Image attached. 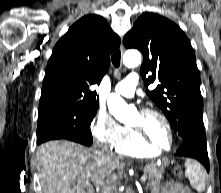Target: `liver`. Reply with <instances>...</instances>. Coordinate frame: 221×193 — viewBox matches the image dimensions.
I'll return each mask as SVG.
<instances>
[{
  "mask_svg": "<svg viewBox=\"0 0 221 193\" xmlns=\"http://www.w3.org/2000/svg\"><path fill=\"white\" fill-rule=\"evenodd\" d=\"M43 193H86L91 182L102 184L119 165V158L104 149L55 140L36 151Z\"/></svg>",
  "mask_w": 221,
  "mask_h": 193,
  "instance_id": "1",
  "label": "liver"
}]
</instances>
